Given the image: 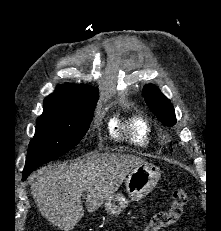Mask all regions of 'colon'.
Segmentation results:
<instances>
[{"instance_id": "5ec220e1", "label": "colon", "mask_w": 221, "mask_h": 231, "mask_svg": "<svg viewBox=\"0 0 221 231\" xmlns=\"http://www.w3.org/2000/svg\"><path fill=\"white\" fill-rule=\"evenodd\" d=\"M187 192L179 188L173 193V200L166 211L155 214L145 224L143 231H161L174 225L181 217L187 203Z\"/></svg>"}]
</instances>
